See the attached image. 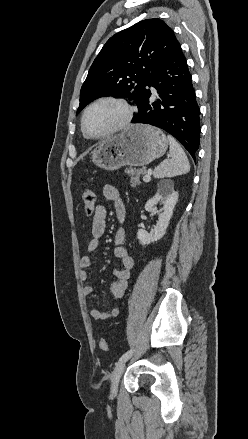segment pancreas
Returning a JSON list of instances; mask_svg holds the SVG:
<instances>
[{"instance_id":"pancreas-1","label":"pancreas","mask_w":248,"mask_h":439,"mask_svg":"<svg viewBox=\"0 0 248 439\" xmlns=\"http://www.w3.org/2000/svg\"><path fill=\"white\" fill-rule=\"evenodd\" d=\"M126 173L131 176V186L135 187L139 185L140 182V176L146 174L145 168H139V169H127Z\"/></svg>"}]
</instances>
